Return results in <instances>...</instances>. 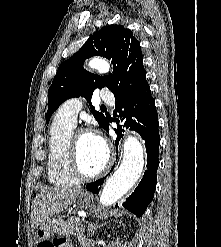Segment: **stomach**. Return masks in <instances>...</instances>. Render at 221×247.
<instances>
[{
	"label": "stomach",
	"mask_w": 221,
	"mask_h": 247,
	"mask_svg": "<svg viewBox=\"0 0 221 247\" xmlns=\"http://www.w3.org/2000/svg\"><path fill=\"white\" fill-rule=\"evenodd\" d=\"M78 203L83 207H88L90 205V197L81 193L78 196ZM53 230L54 227L49 220L39 225L34 232L36 244L39 245L40 243L50 239L53 236Z\"/></svg>",
	"instance_id": "obj_1"
}]
</instances>
